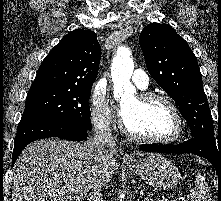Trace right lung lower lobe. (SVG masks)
Instances as JSON below:
<instances>
[{
    "label": "right lung lower lobe",
    "mask_w": 221,
    "mask_h": 201,
    "mask_svg": "<svg viewBox=\"0 0 221 201\" xmlns=\"http://www.w3.org/2000/svg\"><path fill=\"white\" fill-rule=\"evenodd\" d=\"M91 129L92 127H85L76 122L63 119L39 117L21 120L15 138L12 165H14L21 151L35 140L58 137L82 141L87 139V131Z\"/></svg>",
    "instance_id": "98d812e1"
}]
</instances>
